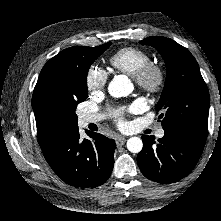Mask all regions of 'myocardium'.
Wrapping results in <instances>:
<instances>
[{
	"mask_svg": "<svg viewBox=\"0 0 221 221\" xmlns=\"http://www.w3.org/2000/svg\"><path fill=\"white\" fill-rule=\"evenodd\" d=\"M135 80L143 90L155 93L163 88L165 73L161 66L150 62L139 70Z\"/></svg>",
	"mask_w": 221,
	"mask_h": 221,
	"instance_id": "1",
	"label": "myocardium"
}]
</instances>
